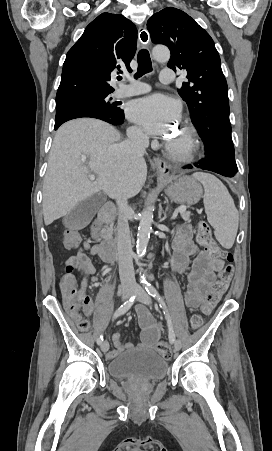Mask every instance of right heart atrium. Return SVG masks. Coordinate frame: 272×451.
Returning a JSON list of instances; mask_svg holds the SVG:
<instances>
[{
    "label": "right heart atrium",
    "instance_id": "right-heart-atrium-1",
    "mask_svg": "<svg viewBox=\"0 0 272 451\" xmlns=\"http://www.w3.org/2000/svg\"><path fill=\"white\" fill-rule=\"evenodd\" d=\"M134 131L137 132V131H138V128H137V127H134Z\"/></svg>",
    "mask_w": 272,
    "mask_h": 451
}]
</instances>
